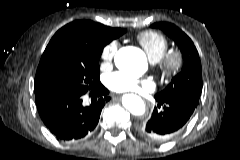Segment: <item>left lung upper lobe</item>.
<instances>
[{
	"label": "left lung upper lobe",
	"instance_id": "obj_1",
	"mask_svg": "<svg viewBox=\"0 0 240 160\" xmlns=\"http://www.w3.org/2000/svg\"><path fill=\"white\" fill-rule=\"evenodd\" d=\"M151 27L159 28L176 42L184 59L181 72L175 76L171 83L155 95V98H174L199 103L202 92V68L198 51L192 40L177 26L171 23H155Z\"/></svg>",
	"mask_w": 240,
	"mask_h": 160
}]
</instances>
